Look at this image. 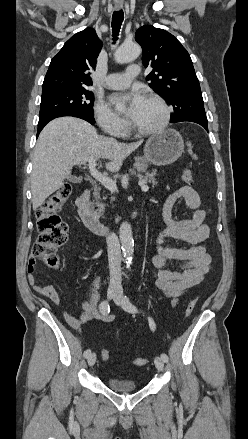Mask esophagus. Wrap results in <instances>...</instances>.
Masks as SVG:
<instances>
[{
  "instance_id": "obj_1",
  "label": "esophagus",
  "mask_w": 248,
  "mask_h": 439,
  "mask_svg": "<svg viewBox=\"0 0 248 439\" xmlns=\"http://www.w3.org/2000/svg\"><path fill=\"white\" fill-rule=\"evenodd\" d=\"M115 7H116V9H118V10H119V9H121L122 5H120V4H117V5L115 6Z\"/></svg>"
}]
</instances>
